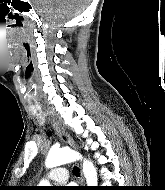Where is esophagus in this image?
I'll return each mask as SVG.
<instances>
[{
    "instance_id": "esophagus-1",
    "label": "esophagus",
    "mask_w": 165,
    "mask_h": 190,
    "mask_svg": "<svg viewBox=\"0 0 165 190\" xmlns=\"http://www.w3.org/2000/svg\"><path fill=\"white\" fill-rule=\"evenodd\" d=\"M51 120L53 123V126L60 136V138L67 144H69L71 147L75 148V143L72 137L66 132L65 128L61 125V123L57 120V118L51 114ZM81 183L84 184V177L81 172Z\"/></svg>"
}]
</instances>
